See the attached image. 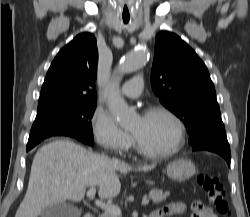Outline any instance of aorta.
<instances>
[{
  "mask_svg": "<svg viewBox=\"0 0 250 217\" xmlns=\"http://www.w3.org/2000/svg\"><path fill=\"white\" fill-rule=\"evenodd\" d=\"M148 54V50L145 47L129 52L117 67V72L119 74H127L140 69L146 62ZM109 89V111L121 126H129L133 123L135 115L119 94V79L112 81Z\"/></svg>",
  "mask_w": 250,
  "mask_h": 217,
  "instance_id": "1",
  "label": "aorta"
}]
</instances>
